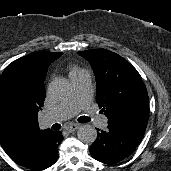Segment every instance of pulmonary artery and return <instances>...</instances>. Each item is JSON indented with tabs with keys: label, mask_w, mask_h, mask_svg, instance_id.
Here are the masks:
<instances>
[{
	"label": "pulmonary artery",
	"mask_w": 171,
	"mask_h": 171,
	"mask_svg": "<svg viewBox=\"0 0 171 171\" xmlns=\"http://www.w3.org/2000/svg\"><path fill=\"white\" fill-rule=\"evenodd\" d=\"M73 85L72 95L64 102L46 112L45 117L48 123L66 120L74 116L80 110L90 108L92 101V80L91 75L84 71L71 77ZM96 125L100 128L107 126V118L99 116Z\"/></svg>",
	"instance_id": "pulmonary-artery-1"
}]
</instances>
